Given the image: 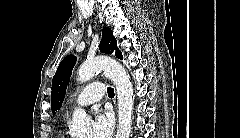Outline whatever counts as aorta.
<instances>
[{"mask_svg":"<svg viewBox=\"0 0 240 138\" xmlns=\"http://www.w3.org/2000/svg\"><path fill=\"white\" fill-rule=\"evenodd\" d=\"M103 70L111 79L117 91L118 129L116 138H129L132 125L134 104L133 85L125 68L116 60L107 57H97L85 61L78 69V81L90 80L96 73ZM71 134L76 138H87L91 135V119L82 109L73 113Z\"/></svg>","mask_w":240,"mask_h":138,"instance_id":"762f6f07","label":"aorta"}]
</instances>
